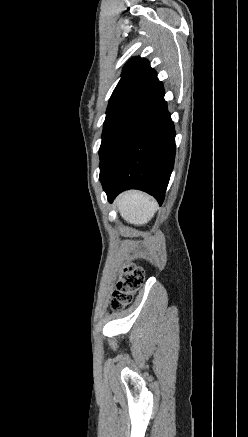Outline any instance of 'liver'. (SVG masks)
Segmentation results:
<instances>
[{
  "label": "liver",
  "mask_w": 248,
  "mask_h": 437,
  "mask_svg": "<svg viewBox=\"0 0 248 437\" xmlns=\"http://www.w3.org/2000/svg\"><path fill=\"white\" fill-rule=\"evenodd\" d=\"M115 204L121 217L128 223L135 225L148 223L157 209V203L154 199L138 191L121 194L116 199Z\"/></svg>",
  "instance_id": "obj_1"
}]
</instances>
